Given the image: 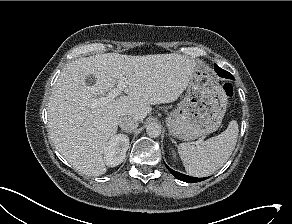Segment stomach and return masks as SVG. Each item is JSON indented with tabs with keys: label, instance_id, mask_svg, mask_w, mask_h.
<instances>
[{
	"label": "stomach",
	"instance_id": "0dacf381",
	"mask_svg": "<svg viewBox=\"0 0 292 224\" xmlns=\"http://www.w3.org/2000/svg\"><path fill=\"white\" fill-rule=\"evenodd\" d=\"M227 95L218 80L197 63L187 84V93L166 118L174 137L189 141L216 131L227 108Z\"/></svg>",
	"mask_w": 292,
	"mask_h": 224
}]
</instances>
